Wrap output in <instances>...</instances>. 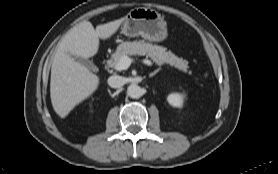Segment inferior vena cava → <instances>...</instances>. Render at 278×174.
<instances>
[{
	"label": "inferior vena cava",
	"mask_w": 278,
	"mask_h": 174,
	"mask_svg": "<svg viewBox=\"0 0 278 174\" xmlns=\"http://www.w3.org/2000/svg\"><path fill=\"white\" fill-rule=\"evenodd\" d=\"M108 84L112 88H120L125 84V78L119 75H113L108 79Z\"/></svg>",
	"instance_id": "602c4592"
}]
</instances>
